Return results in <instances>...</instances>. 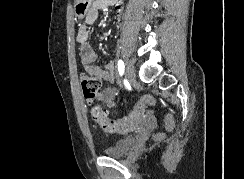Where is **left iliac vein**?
Wrapping results in <instances>:
<instances>
[{
	"label": "left iliac vein",
	"instance_id": "obj_1",
	"mask_svg": "<svg viewBox=\"0 0 244 179\" xmlns=\"http://www.w3.org/2000/svg\"><path fill=\"white\" fill-rule=\"evenodd\" d=\"M125 74H126V78L128 79V81L130 83L135 81L136 72H135V69L131 63L127 64Z\"/></svg>",
	"mask_w": 244,
	"mask_h": 179
}]
</instances>
